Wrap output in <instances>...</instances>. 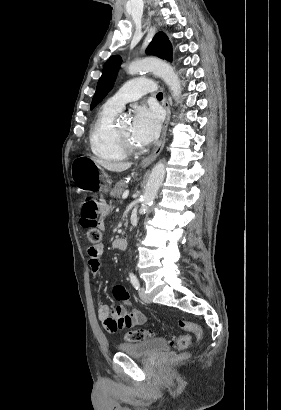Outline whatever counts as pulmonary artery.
Wrapping results in <instances>:
<instances>
[{
  "label": "pulmonary artery",
  "mask_w": 281,
  "mask_h": 410,
  "mask_svg": "<svg viewBox=\"0 0 281 410\" xmlns=\"http://www.w3.org/2000/svg\"><path fill=\"white\" fill-rule=\"evenodd\" d=\"M155 84L146 78H136L126 82L112 97L105 106L109 109L120 112L126 103L138 100L143 94L154 92Z\"/></svg>",
  "instance_id": "obj_1"
}]
</instances>
